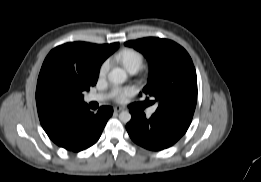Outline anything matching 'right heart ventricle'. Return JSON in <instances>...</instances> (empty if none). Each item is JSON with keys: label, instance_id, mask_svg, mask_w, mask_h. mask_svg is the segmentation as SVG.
I'll return each instance as SVG.
<instances>
[{"label": "right heart ventricle", "instance_id": "1", "mask_svg": "<svg viewBox=\"0 0 261 182\" xmlns=\"http://www.w3.org/2000/svg\"><path fill=\"white\" fill-rule=\"evenodd\" d=\"M121 64L128 70H138L143 64V56L134 49H125L119 55Z\"/></svg>", "mask_w": 261, "mask_h": 182}]
</instances>
